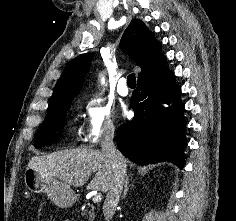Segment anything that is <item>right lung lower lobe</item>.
<instances>
[{"instance_id":"98d812e1","label":"right lung lower lobe","mask_w":236,"mask_h":221,"mask_svg":"<svg viewBox=\"0 0 236 221\" xmlns=\"http://www.w3.org/2000/svg\"><path fill=\"white\" fill-rule=\"evenodd\" d=\"M179 95L180 88L165 61L138 79L130 103L135 116L120 126L117 134L123 155L141 165L171 161L183 167L186 139ZM162 103L173 105L165 108Z\"/></svg>"}]
</instances>
